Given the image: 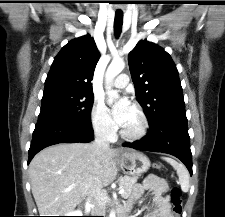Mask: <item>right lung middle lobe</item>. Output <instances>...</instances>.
<instances>
[{
    "label": "right lung middle lobe",
    "mask_w": 225,
    "mask_h": 217,
    "mask_svg": "<svg viewBox=\"0 0 225 217\" xmlns=\"http://www.w3.org/2000/svg\"><path fill=\"white\" fill-rule=\"evenodd\" d=\"M93 94L68 91L44 93L40 114H54L74 120L90 118L93 105Z\"/></svg>",
    "instance_id": "obj_1"
}]
</instances>
